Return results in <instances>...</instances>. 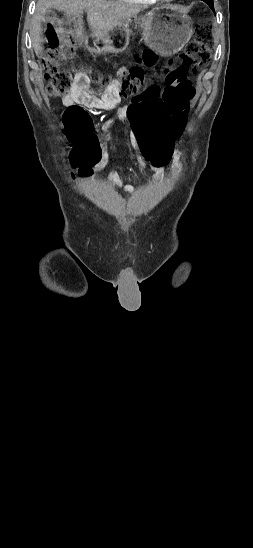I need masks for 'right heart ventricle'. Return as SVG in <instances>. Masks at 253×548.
<instances>
[{
    "instance_id": "obj_1",
    "label": "right heart ventricle",
    "mask_w": 253,
    "mask_h": 548,
    "mask_svg": "<svg viewBox=\"0 0 253 548\" xmlns=\"http://www.w3.org/2000/svg\"><path fill=\"white\" fill-rule=\"evenodd\" d=\"M121 2L129 3V4H135V5H153L156 3V0H119Z\"/></svg>"
}]
</instances>
